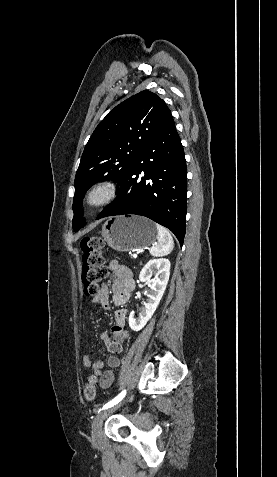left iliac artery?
Instances as JSON below:
<instances>
[{
  "label": "left iliac artery",
  "instance_id": "1",
  "mask_svg": "<svg viewBox=\"0 0 277 477\" xmlns=\"http://www.w3.org/2000/svg\"><path fill=\"white\" fill-rule=\"evenodd\" d=\"M125 394H126V390H123L118 396H116L114 399H112L111 401L106 403L102 407V410L107 409L109 407H112V406L116 405L117 403H119L124 398Z\"/></svg>",
  "mask_w": 277,
  "mask_h": 477
}]
</instances>
